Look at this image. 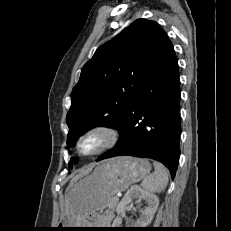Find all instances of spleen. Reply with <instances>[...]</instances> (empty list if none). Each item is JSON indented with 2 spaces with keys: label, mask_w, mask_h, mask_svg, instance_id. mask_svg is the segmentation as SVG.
I'll use <instances>...</instances> for the list:
<instances>
[{
  "label": "spleen",
  "mask_w": 231,
  "mask_h": 231,
  "mask_svg": "<svg viewBox=\"0 0 231 231\" xmlns=\"http://www.w3.org/2000/svg\"><path fill=\"white\" fill-rule=\"evenodd\" d=\"M155 171L153 174L146 176L141 186L150 193L162 192L169 181V174L167 169L159 162H153Z\"/></svg>",
  "instance_id": "spleen-1"
}]
</instances>
